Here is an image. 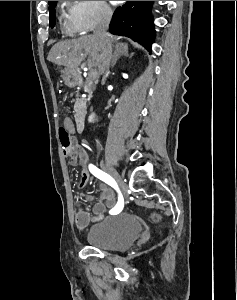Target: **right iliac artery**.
Segmentation results:
<instances>
[{"label":"right iliac artery","mask_w":237,"mask_h":300,"mask_svg":"<svg viewBox=\"0 0 237 300\" xmlns=\"http://www.w3.org/2000/svg\"><path fill=\"white\" fill-rule=\"evenodd\" d=\"M89 170H90V172L94 176H96L100 180L104 181L105 183H107L108 185H110L111 187H113L119 193L118 202H117L116 206L112 210L116 211V210L122 209L123 206H124V201H123L122 194H121V192H120V190L118 188V185L115 182V180L110 175H108L107 173H105L102 170L98 169L93 164L89 165Z\"/></svg>","instance_id":"82829eb1"}]
</instances>
